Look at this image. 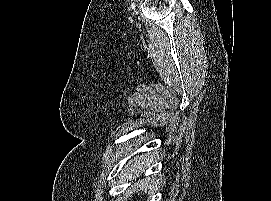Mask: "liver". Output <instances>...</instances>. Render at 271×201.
Listing matches in <instances>:
<instances>
[{
    "instance_id": "obj_1",
    "label": "liver",
    "mask_w": 271,
    "mask_h": 201,
    "mask_svg": "<svg viewBox=\"0 0 271 201\" xmlns=\"http://www.w3.org/2000/svg\"><path fill=\"white\" fill-rule=\"evenodd\" d=\"M128 152V149L126 150V153ZM147 161H140L138 158H135L134 161L131 162L130 166H127V171L134 173V175H137L139 172L144 170V166Z\"/></svg>"
}]
</instances>
